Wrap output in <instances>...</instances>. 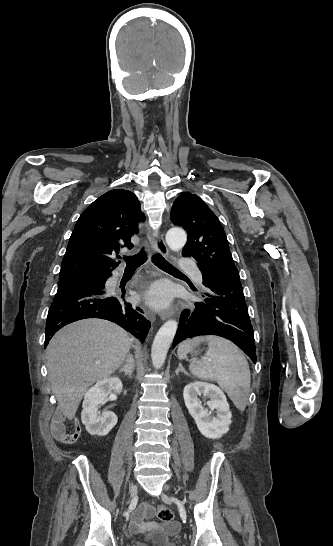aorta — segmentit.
<instances>
[{"instance_id": "762f6f07", "label": "aorta", "mask_w": 333, "mask_h": 546, "mask_svg": "<svg viewBox=\"0 0 333 546\" xmlns=\"http://www.w3.org/2000/svg\"><path fill=\"white\" fill-rule=\"evenodd\" d=\"M187 241V235L182 228L173 227L166 234V243L173 251L182 249ZM178 323L175 320H169L162 325L157 332L151 349V359L153 366L161 368L165 362L167 352L174 339Z\"/></svg>"}]
</instances>
